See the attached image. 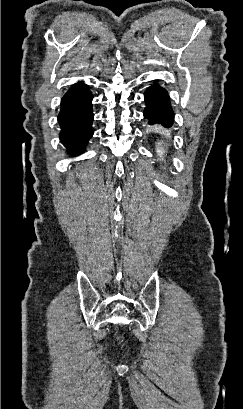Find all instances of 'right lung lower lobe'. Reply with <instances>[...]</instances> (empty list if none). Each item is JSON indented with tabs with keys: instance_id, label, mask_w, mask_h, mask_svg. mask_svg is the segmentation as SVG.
Instances as JSON below:
<instances>
[{
	"instance_id": "98d812e1",
	"label": "right lung lower lobe",
	"mask_w": 243,
	"mask_h": 409,
	"mask_svg": "<svg viewBox=\"0 0 243 409\" xmlns=\"http://www.w3.org/2000/svg\"><path fill=\"white\" fill-rule=\"evenodd\" d=\"M92 99L91 92L82 82L74 84L62 98L58 115L60 139L73 155L82 153L93 135Z\"/></svg>"
}]
</instances>
